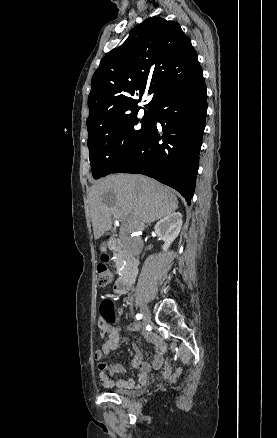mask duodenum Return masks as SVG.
<instances>
[{
    "label": "duodenum",
    "mask_w": 277,
    "mask_h": 438,
    "mask_svg": "<svg viewBox=\"0 0 277 438\" xmlns=\"http://www.w3.org/2000/svg\"><path fill=\"white\" fill-rule=\"evenodd\" d=\"M103 249L107 250H120L125 253V267L123 274L117 280L116 292L118 294H126L130 291L138 271V259L131 253L130 248L115 239L108 240Z\"/></svg>",
    "instance_id": "obj_1"
}]
</instances>
